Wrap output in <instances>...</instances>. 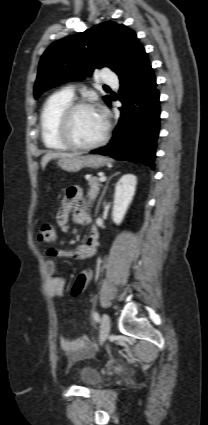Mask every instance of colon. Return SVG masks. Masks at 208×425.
Instances as JSON below:
<instances>
[{
	"instance_id": "colon-1",
	"label": "colon",
	"mask_w": 208,
	"mask_h": 425,
	"mask_svg": "<svg viewBox=\"0 0 208 425\" xmlns=\"http://www.w3.org/2000/svg\"><path fill=\"white\" fill-rule=\"evenodd\" d=\"M57 233L56 229L51 224H45L42 226L41 231L39 233V240L46 245H52L56 242ZM93 283V272L88 271L85 273H81L76 278L74 285L72 287V295L79 296L81 295L89 285Z\"/></svg>"
}]
</instances>
